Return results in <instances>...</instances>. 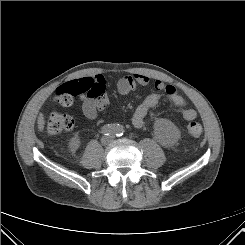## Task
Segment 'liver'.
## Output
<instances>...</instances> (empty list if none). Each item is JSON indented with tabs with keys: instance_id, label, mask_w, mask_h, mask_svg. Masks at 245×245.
Returning a JSON list of instances; mask_svg holds the SVG:
<instances>
[{
	"instance_id": "1",
	"label": "liver",
	"mask_w": 245,
	"mask_h": 245,
	"mask_svg": "<svg viewBox=\"0 0 245 245\" xmlns=\"http://www.w3.org/2000/svg\"><path fill=\"white\" fill-rule=\"evenodd\" d=\"M37 124H38V125H37L38 130H39L40 132L43 131L45 121H44V117H43V114H42V113H40L39 116H38Z\"/></svg>"
}]
</instances>
